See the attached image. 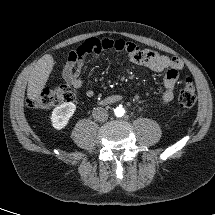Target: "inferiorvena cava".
Here are the masks:
<instances>
[{
  "mask_svg": "<svg viewBox=\"0 0 215 215\" xmlns=\"http://www.w3.org/2000/svg\"><path fill=\"white\" fill-rule=\"evenodd\" d=\"M92 116L95 121L104 122L108 119V113L103 107H96L92 111Z\"/></svg>",
  "mask_w": 215,
  "mask_h": 215,
  "instance_id": "602c4592",
  "label": "inferior vena cava"
}]
</instances>
